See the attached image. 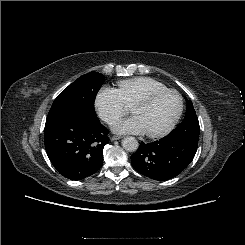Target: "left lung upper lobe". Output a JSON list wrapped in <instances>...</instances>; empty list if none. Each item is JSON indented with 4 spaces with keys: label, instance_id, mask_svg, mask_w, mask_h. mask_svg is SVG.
<instances>
[{
    "label": "left lung upper lobe",
    "instance_id": "5c2ea615",
    "mask_svg": "<svg viewBox=\"0 0 245 245\" xmlns=\"http://www.w3.org/2000/svg\"><path fill=\"white\" fill-rule=\"evenodd\" d=\"M199 122L194 110L192 101L187 103V112L184 120L170 134L166 136L168 140H191L198 142Z\"/></svg>",
    "mask_w": 245,
    "mask_h": 245
}]
</instances>
